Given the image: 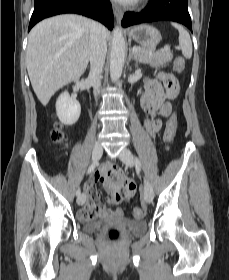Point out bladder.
Returning <instances> with one entry per match:
<instances>
[{
	"instance_id": "obj_1",
	"label": "bladder",
	"mask_w": 229,
	"mask_h": 280,
	"mask_svg": "<svg viewBox=\"0 0 229 280\" xmlns=\"http://www.w3.org/2000/svg\"><path fill=\"white\" fill-rule=\"evenodd\" d=\"M122 223L125 227L126 232L131 235L143 234L147 230V224L144 220L123 218ZM83 226L85 232L96 233L102 228L103 221L88 219L83 221Z\"/></svg>"
}]
</instances>
